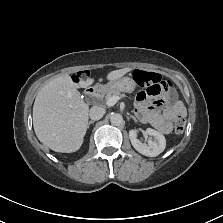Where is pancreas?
<instances>
[{
	"instance_id": "obj_1",
	"label": "pancreas",
	"mask_w": 223,
	"mask_h": 223,
	"mask_svg": "<svg viewBox=\"0 0 223 223\" xmlns=\"http://www.w3.org/2000/svg\"><path fill=\"white\" fill-rule=\"evenodd\" d=\"M112 96H120V93L114 91V92H111V93H109V94H106V95L104 96V101H105V102H108V100H109ZM121 96H123V95H121Z\"/></svg>"
}]
</instances>
